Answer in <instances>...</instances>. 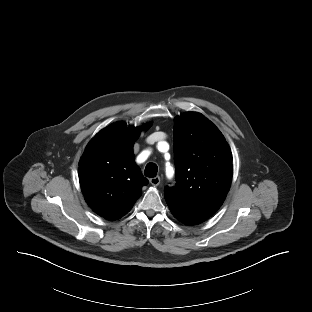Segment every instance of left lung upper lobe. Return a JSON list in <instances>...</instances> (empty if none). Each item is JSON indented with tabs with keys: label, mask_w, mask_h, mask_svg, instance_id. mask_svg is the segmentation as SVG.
<instances>
[{
	"label": "left lung upper lobe",
	"mask_w": 312,
	"mask_h": 312,
	"mask_svg": "<svg viewBox=\"0 0 312 312\" xmlns=\"http://www.w3.org/2000/svg\"><path fill=\"white\" fill-rule=\"evenodd\" d=\"M173 135L177 184L165 187V199L179 221L201 223L225 200L233 175L232 154L222 133L201 113L178 116Z\"/></svg>",
	"instance_id": "obj_1"
}]
</instances>
